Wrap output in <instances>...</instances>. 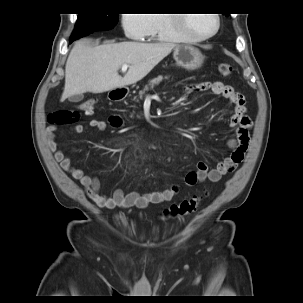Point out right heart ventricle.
I'll list each match as a JSON object with an SVG mask.
<instances>
[{"mask_svg": "<svg viewBox=\"0 0 303 303\" xmlns=\"http://www.w3.org/2000/svg\"><path fill=\"white\" fill-rule=\"evenodd\" d=\"M150 20L151 28L146 37L167 42H183L187 39L172 14H152Z\"/></svg>", "mask_w": 303, "mask_h": 303, "instance_id": "e07e8e85", "label": "right heart ventricle"}]
</instances>
